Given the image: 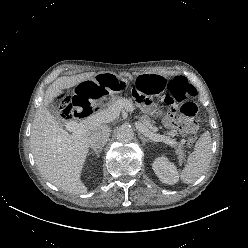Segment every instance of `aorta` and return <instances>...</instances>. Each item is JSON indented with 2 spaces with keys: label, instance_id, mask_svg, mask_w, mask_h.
Listing matches in <instances>:
<instances>
[{
  "label": "aorta",
  "instance_id": "obj_1",
  "mask_svg": "<svg viewBox=\"0 0 248 248\" xmlns=\"http://www.w3.org/2000/svg\"><path fill=\"white\" fill-rule=\"evenodd\" d=\"M116 138L121 143H129L134 138L133 129L129 126H121L116 132Z\"/></svg>",
  "mask_w": 248,
  "mask_h": 248
}]
</instances>
